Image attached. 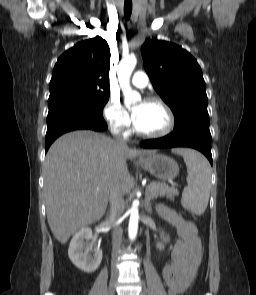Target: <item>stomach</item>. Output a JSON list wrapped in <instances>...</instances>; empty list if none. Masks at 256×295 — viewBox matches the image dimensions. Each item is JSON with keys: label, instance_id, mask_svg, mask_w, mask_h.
<instances>
[{"label": "stomach", "instance_id": "1", "mask_svg": "<svg viewBox=\"0 0 256 295\" xmlns=\"http://www.w3.org/2000/svg\"><path fill=\"white\" fill-rule=\"evenodd\" d=\"M139 164L162 181L173 180L179 173L177 162L165 154L146 155L139 159Z\"/></svg>", "mask_w": 256, "mask_h": 295}]
</instances>
